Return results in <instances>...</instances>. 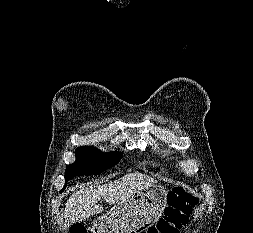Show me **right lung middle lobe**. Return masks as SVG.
Here are the masks:
<instances>
[{"label": "right lung middle lobe", "mask_w": 253, "mask_h": 233, "mask_svg": "<svg viewBox=\"0 0 253 233\" xmlns=\"http://www.w3.org/2000/svg\"><path fill=\"white\" fill-rule=\"evenodd\" d=\"M76 161L66 167V182L78 175L99 174L116 165L122 157L120 152L102 153L90 146L79 147Z\"/></svg>", "instance_id": "1"}]
</instances>
